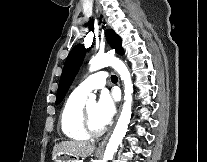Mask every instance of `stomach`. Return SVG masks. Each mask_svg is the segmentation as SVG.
I'll return each mask as SVG.
<instances>
[{"label":"stomach","mask_w":207,"mask_h":162,"mask_svg":"<svg viewBox=\"0 0 207 162\" xmlns=\"http://www.w3.org/2000/svg\"><path fill=\"white\" fill-rule=\"evenodd\" d=\"M96 155L98 156L99 153L96 152ZM53 162H79L78 159L70 157V155L67 154H58L56 156L52 157Z\"/></svg>","instance_id":"obj_1"}]
</instances>
